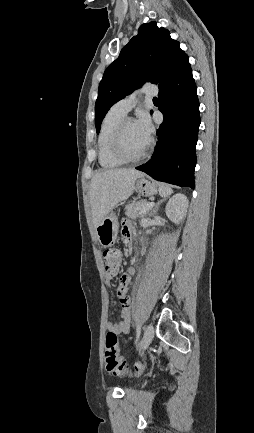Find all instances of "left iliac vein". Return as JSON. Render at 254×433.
<instances>
[{"mask_svg":"<svg viewBox=\"0 0 254 433\" xmlns=\"http://www.w3.org/2000/svg\"><path fill=\"white\" fill-rule=\"evenodd\" d=\"M154 337V328L152 324H148L145 328L144 335L138 345V350L142 351L148 348Z\"/></svg>","mask_w":254,"mask_h":433,"instance_id":"left-iliac-vein-1","label":"left iliac vein"}]
</instances>
